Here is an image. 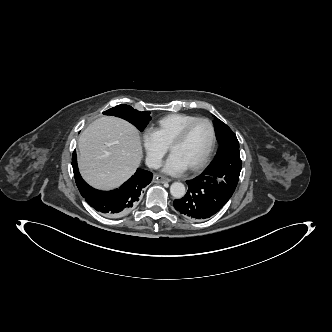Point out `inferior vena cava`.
<instances>
[{
    "mask_svg": "<svg viewBox=\"0 0 332 332\" xmlns=\"http://www.w3.org/2000/svg\"><path fill=\"white\" fill-rule=\"evenodd\" d=\"M146 163L148 167L158 169L161 167V161L157 158H147Z\"/></svg>",
    "mask_w": 332,
    "mask_h": 332,
    "instance_id": "inferior-vena-cava-1",
    "label": "inferior vena cava"
}]
</instances>
